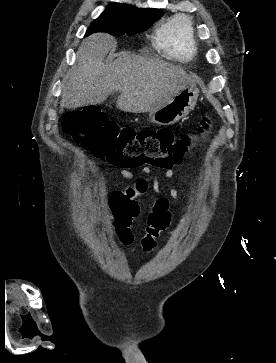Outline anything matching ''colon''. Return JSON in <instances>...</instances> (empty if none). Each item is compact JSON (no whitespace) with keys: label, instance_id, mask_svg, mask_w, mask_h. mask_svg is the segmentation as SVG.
<instances>
[{"label":"colon","instance_id":"1","mask_svg":"<svg viewBox=\"0 0 276 363\" xmlns=\"http://www.w3.org/2000/svg\"><path fill=\"white\" fill-rule=\"evenodd\" d=\"M210 126L211 120L206 114H202L195 130L204 134L209 131ZM63 127L95 156L129 168L145 164L171 168L181 163L193 144L192 135L189 133L177 136L169 129L136 132L131 128H119L95 108H84L67 114ZM113 210L116 216H122V222L126 225V219L120 211ZM167 225V222L160 221L155 215L150 216V226L154 229H163ZM122 238L125 243L132 241L129 231H125ZM141 245L145 251L152 250L155 246L153 235H144Z\"/></svg>","mask_w":276,"mask_h":363}]
</instances>
